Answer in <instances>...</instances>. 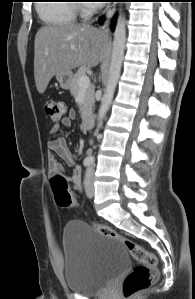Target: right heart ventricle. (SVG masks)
<instances>
[{"instance_id":"1","label":"right heart ventricle","mask_w":195,"mask_h":299,"mask_svg":"<svg viewBox=\"0 0 195 299\" xmlns=\"http://www.w3.org/2000/svg\"><path fill=\"white\" fill-rule=\"evenodd\" d=\"M37 6L40 19L48 26H64L72 24L76 19V6L71 1H46Z\"/></svg>"}]
</instances>
